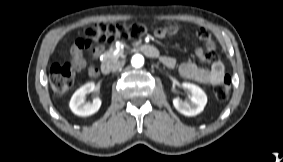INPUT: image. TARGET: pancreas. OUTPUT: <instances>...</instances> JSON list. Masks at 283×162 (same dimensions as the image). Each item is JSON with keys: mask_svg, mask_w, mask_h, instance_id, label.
Instances as JSON below:
<instances>
[{"mask_svg": "<svg viewBox=\"0 0 283 162\" xmlns=\"http://www.w3.org/2000/svg\"><path fill=\"white\" fill-rule=\"evenodd\" d=\"M122 55H123V51H122V50H120V51L118 52V54L113 55V49H110L109 52L105 55V58H106V59H107V58H112V59H114V58H118V57H120V56H122Z\"/></svg>", "mask_w": 283, "mask_h": 162, "instance_id": "pancreas-1", "label": "pancreas"}]
</instances>
